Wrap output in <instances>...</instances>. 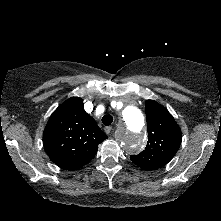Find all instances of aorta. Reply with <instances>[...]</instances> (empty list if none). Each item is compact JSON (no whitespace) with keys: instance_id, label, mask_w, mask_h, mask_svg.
<instances>
[{"instance_id":"obj_1","label":"aorta","mask_w":221,"mask_h":221,"mask_svg":"<svg viewBox=\"0 0 221 221\" xmlns=\"http://www.w3.org/2000/svg\"><path fill=\"white\" fill-rule=\"evenodd\" d=\"M117 139L129 153H136L143 147L145 142V118L136 106L128 105L122 110Z\"/></svg>"}]
</instances>
